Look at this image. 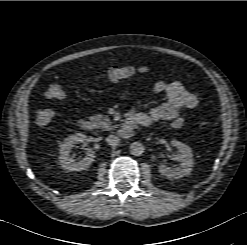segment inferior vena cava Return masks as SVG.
<instances>
[{
  "label": "inferior vena cava",
  "instance_id": "obj_1",
  "mask_svg": "<svg viewBox=\"0 0 247 245\" xmlns=\"http://www.w3.org/2000/svg\"><path fill=\"white\" fill-rule=\"evenodd\" d=\"M106 141L109 145L116 146L120 142V139L115 135H109L107 136Z\"/></svg>",
  "mask_w": 247,
  "mask_h": 245
}]
</instances>
